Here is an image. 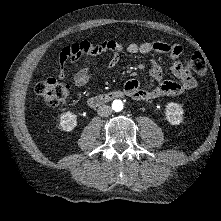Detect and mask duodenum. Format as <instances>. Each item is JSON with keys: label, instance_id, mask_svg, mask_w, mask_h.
I'll return each mask as SVG.
<instances>
[{"label": "duodenum", "instance_id": "duodenum-1", "mask_svg": "<svg viewBox=\"0 0 221 221\" xmlns=\"http://www.w3.org/2000/svg\"><path fill=\"white\" fill-rule=\"evenodd\" d=\"M124 95H126V92L116 90V91H111V92H108L105 94L92 96L88 99V105L90 107L96 108L102 104L109 102V101H112L117 98H121Z\"/></svg>", "mask_w": 221, "mask_h": 221}]
</instances>
